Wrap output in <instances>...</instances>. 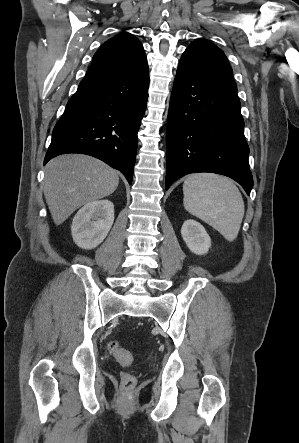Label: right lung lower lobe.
Returning <instances> with one entry per match:
<instances>
[{
    "instance_id": "98d812e1",
    "label": "right lung lower lobe",
    "mask_w": 299,
    "mask_h": 443,
    "mask_svg": "<svg viewBox=\"0 0 299 443\" xmlns=\"http://www.w3.org/2000/svg\"><path fill=\"white\" fill-rule=\"evenodd\" d=\"M148 88V72L82 80L54 127L44 164L60 154H88L121 171L131 184Z\"/></svg>"
}]
</instances>
